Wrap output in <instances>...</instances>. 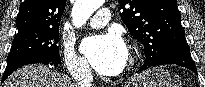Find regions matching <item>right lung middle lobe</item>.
<instances>
[{"label": "right lung middle lobe", "mask_w": 205, "mask_h": 87, "mask_svg": "<svg viewBox=\"0 0 205 87\" xmlns=\"http://www.w3.org/2000/svg\"><path fill=\"white\" fill-rule=\"evenodd\" d=\"M59 28L19 31L14 38L8 57L29 55L61 63L57 46Z\"/></svg>", "instance_id": "obj_1"}]
</instances>
